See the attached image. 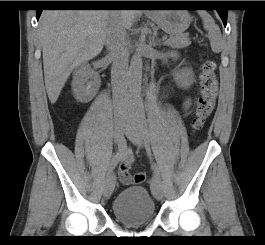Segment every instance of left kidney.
Wrapping results in <instances>:
<instances>
[{"instance_id": "5707ae66", "label": "left kidney", "mask_w": 265, "mask_h": 245, "mask_svg": "<svg viewBox=\"0 0 265 245\" xmlns=\"http://www.w3.org/2000/svg\"><path fill=\"white\" fill-rule=\"evenodd\" d=\"M176 83L183 88H188L193 83V73L189 68H184L175 73Z\"/></svg>"}]
</instances>
